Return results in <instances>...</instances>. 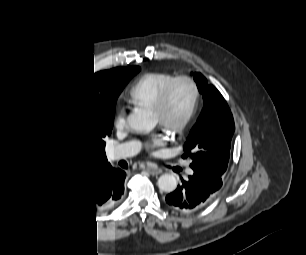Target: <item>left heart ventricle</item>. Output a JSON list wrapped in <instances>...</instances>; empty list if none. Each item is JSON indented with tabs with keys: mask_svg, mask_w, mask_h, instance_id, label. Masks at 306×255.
<instances>
[{
	"mask_svg": "<svg viewBox=\"0 0 306 255\" xmlns=\"http://www.w3.org/2000/svg\"><path fill=\"white\" fill-rule=\"evenodd\" d=\"M192 99V89L188 84H180L172 94L163 114L154 112L155 121L174 124L180 121L187 113Z\"/></svg>",
	"mask_w": 306,
	"mask_h": 255,
	"instance_id": "left-heart-ventricle-1",
	"label": "left heart ventricle"
}]
</instances>
